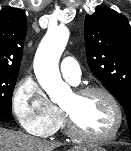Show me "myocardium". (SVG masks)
Here are the masks:
<instances>
[{"mask_svg":"<svg viewBox=\"0 0 131 151\" xmlns=\"http://www.w3.org/2000/svg\"><path fill=\"white\" fill-rule=\"evenodd\" d=\"M73 93L78 97H84L95 93L105 96L110 101L116 112L117 121L114 129L109 134L101 135V136L92 135L82 131L75 123L72 115L62 107L66 128L69 134H71L75 138L91 141V142H108L116 138V136L121 131L124 122L123 109L116 96L107 88H104L102 86H96V85H87V86L79 87L75 89Z\"/></svg>","mask_w":131,"mask_h":151,"instance_id":"f54148a6","label":"myocardium"}]
</instances>
